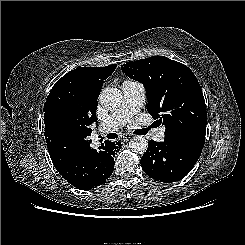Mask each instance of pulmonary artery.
<instances>
[{"mask_svg": "<svg viewBox=\"0 0 245 245\" xmlns=\"http://www.w3.org/2000/svg\"><path fill=\"white\" fill-rule=\"evenodd\" d=\"M122 92L123 100L121 106L100 123L99 131L101 133L117 131L143 106L145 101V89L141 83L126 80L122 84ZM152 138L155 141L162 142L164 140V128L156 129L153 132Z\"/></svg>", "mask_w": 245, "mask_h": 245, "instance_id": "pulmonary-artery-1", "label": "pulmonary artery"}]
</instances>
